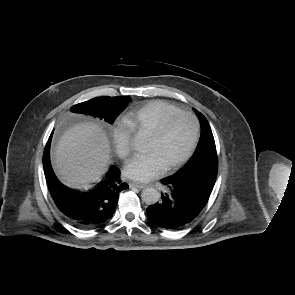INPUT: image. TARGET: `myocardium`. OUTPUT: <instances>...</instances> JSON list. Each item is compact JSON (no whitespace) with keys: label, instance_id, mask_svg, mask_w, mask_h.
Masks as SVG:
<instances>
[{"label":"myocardium","instance_id":"1","mask_svg":"<svg viewBox=\"0 0 295 295\" xmlns=\"http://www.w3.org/2000/svg\"><path fill=\"white\" fill-rule=\"evenodd\" d=\"M181 115L188 116V117H190L192 119L193 124H194L193 138H192L191 144H190L188 150L186 151V153L181 158H179L177 161H175L174 163L164 167V172H170V171H173V170L179 168L185 162H187L190 159V157L193 155V153H194V151H195V149L197 147V144H198V141H199V136H200V123H199V120H198L197 116L193 112L186 111V110H179V111L173 112V113L167 115L166 117H164L160 121L158 126L149 134V137H152L154 139L160 138L164 134L168 123L173 118H175L177 116H181Z\"/></svg>","mask_w":295,"mask_h":295}]
</instances>
